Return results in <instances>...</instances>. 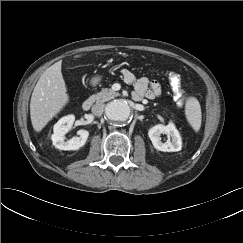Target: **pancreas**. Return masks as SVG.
<instances>
[{
	"mask_svg": "<svg viewBox=\"0 0 243 243\" xmlns=\"http://www.w3.org/2000/svg\"><path fill=\"white\" fill-rule=\"evenodd\" d=\"M117 96H119L118 92H115L110 88H105L102 91L98 92L97 94L92 95L90 99L94 102L102 103V102L109 101Z\"/></svg>",
	"mask_w": 243,
	"mask_h": 243,
	"instance_id": "cf45deb5",
	"label": "pancreas"
}]
</instances>
